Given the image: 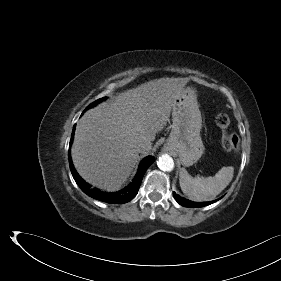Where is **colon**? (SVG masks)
Listing matches in <instances>:
<instances>
[{
    "instance_id": "1",
    "label": "colon",
    "mask_w": 281,
    "mask_h": 281,
    "mask_svg": "<svg viewBox=\"0 0 281 281\" xmlns=\"http://www.w3.org/2000/svg\"><path fill=\"white\" fill-rule=\"evenodd\" d=\"M215 122L218 127L223 130L221 146L226 151H237L239 149V138L230 129V120L226 114L220 113L215 117Z\"/></svg>"
}]
</instances>
